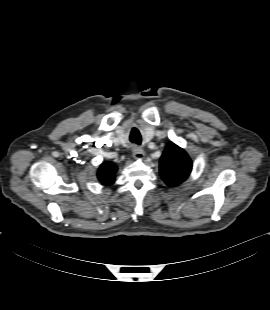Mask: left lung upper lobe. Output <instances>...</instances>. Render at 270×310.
Here are the masks:
<instances>
[{
    "label": "left lung upper lobe",
    "mask_w": 270,
    "mask_h": 310,
    "mask_svg": "<svg viewBox=\"0 0 270 310\" xmlns=\"http://www.w3.org/2000/svg\"><path fill=\"white\" fill-rule=\"evenodd\" d=\"M192 170V162L187 153L169 142L160 159V175L170 187L177 186L187 179Z\"/></svg>",
    "instance_id": "5c2ea615"
}]
</instances>
